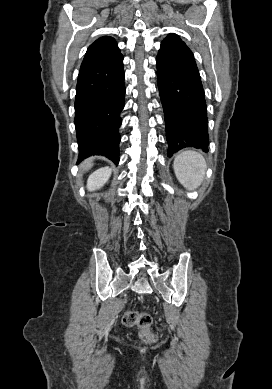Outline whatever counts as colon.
Wrapping results in <instances>:
<instances>
[{"label": "colon", "mask_w": 272, "mask_h": 389, "mask_svg": "<svg viewBox=\"0 0 272 389\" xmlns=\"http://www.w3.org/2000/svg\"><path fill=\"white\" fill-rule=\"evenodd\" d=\"M122 323L126 327L137 326L140 329V338L146 344H152L157 340V335L152 331V316L147 312L128 311L122 317Z\"/></svg>", "instance_id": "1"}]
</instances>
